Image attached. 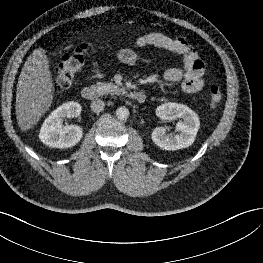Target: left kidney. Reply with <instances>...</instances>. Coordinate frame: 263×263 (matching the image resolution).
<instances>
[{
    "label": "left kidney",
    "instance_id": "obj_1",
    "mask_svg": "<svg viewBox=\"0 0 263 263\" xmlns=\"http://www.w3.org/2000/svg\"><path fill=\"white\" fill-rule=\"evenodd\" d=\"M156 115L163 119L182 118V121L176 124L177 134H167L164 127L153 130L152 140L157 146L174 151L193 144L200 126L199 118L193 110L183 104L165 103L157 107Z\"/></svg>",
    "mask_w": 263,
    "mask_h": 263
}]
</instances>
